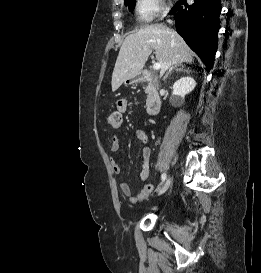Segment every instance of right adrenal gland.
<instances>
[{"label": "right adrenal gland", "instance_id": "2a0ac1e0", "mask_svg": "<svg viewBox=\"0 0 261 273\" xmlns=\"http://www.w3.org/2000/svg\"><path fill=\"white\" fill-rule=\"evenodd\" d=\"M178 67H180V68H178ZM173 69H176L177 71H186V72H188V70L184 69V65L182 63H179V64H177L174 67H171L169 69V71L167 72V74L163 78L164 80L167 79L168 75L173 71Z\"/></svg>", "mask_w": 261, "mask_h": 273}]
</instances>
